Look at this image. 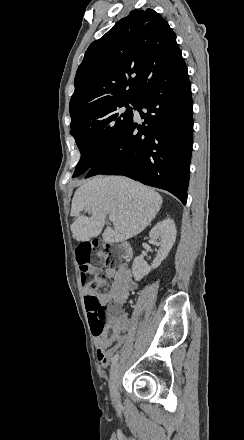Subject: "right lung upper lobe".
<instances>
[{"mask_svg":"<svg viewBox=\"0 0 244 440\" xmlns=\"http://www.w3.org/2000/svg\"><path fill=\"white\" fill-rule=\"evenodd\" d=\"M184 63L168 22L152 9L133 10L88 47L69 111L109 98L138 99L159 71Z\"/></svg>","mask_w":244,"mask_h":440,"instance_id":"obj_1","label":"right lung upper lobe"}]
</instances>
